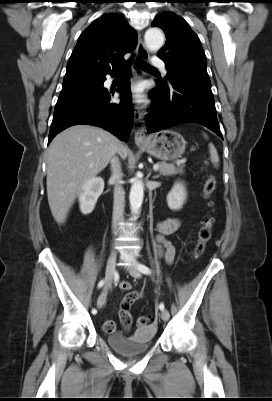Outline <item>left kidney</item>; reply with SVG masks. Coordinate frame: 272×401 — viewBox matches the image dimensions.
I'll return each mask as SVG.
<instances>
[{"instance_id": "5707ae66", "label": "left kidney", "mask_w": 272, "mask_h": 401, "mask_svg": "<svg viewBox=\"0 0 272 401\" xmlns=\"http://www.w3.org/2000/svg\"><path fill=\"white\" fill-rule=\"evenodd\" d=\"M186 200V190L183 183L176 182L167 195V204L171 210H179L182 208Z\"/></svg>"}]
</instances>
